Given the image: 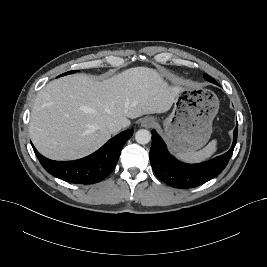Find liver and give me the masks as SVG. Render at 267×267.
I'll return each instance as SVG.
<instances>
[{"label":"liver","mask_w":267,"mask_h":267,"mask_svg":"<svg viewBox=\"0 0 267 267\" xmlns=\"http://www.w3.org/2000/svg\"><path fill=\"white\" fill-rule=\"evenodd\" d=\"M180 89L147 67L130 68L102 82L84 74L59 78L35 98L30 137L36 149L50 159H78L111 137L108 124L118 121L128 127V118L164 113Z\"/></svg>","instance_id":"liver-1"}]
</instances>
